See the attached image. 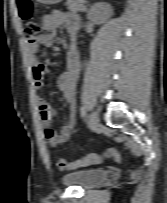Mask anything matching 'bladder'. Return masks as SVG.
I'll return each instance as SVG.
<instances>
[{
  "label": "bladder",
  "instance_id": "obj_1",
  "mask_svg": "<svg viewBox=\"0 0 167 203\" xmlns=\"http://www.w3.org/2000/svg\"><path fill=\"white\" fill-rule=\"evenodd\" d=\"M109 176V171L105 169H81L64 174L62 176V182L66 185H76L82 188H91L108 180Z\"/></svg>",
  "mask_w": 167,
  "mask_h": 203
}]
</instances>
